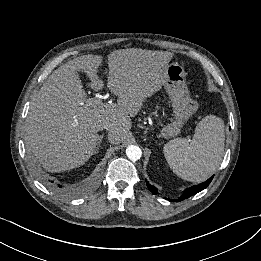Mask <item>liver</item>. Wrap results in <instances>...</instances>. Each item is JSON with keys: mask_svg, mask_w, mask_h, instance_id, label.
<instances>
[{"mask_svg": "<svg viewBox=\"0 0 261 261\" xmlns=\"http://www.w3.org/2000/svg\"><path fill=\"white\" fill-rule=\"evenodd\" d=\"M173 57L168 51L138 48L115 50L108 56L107 86L118 96L117 104L87 105V95L78 77L85 73L94 90L103 87L98 71L103 56L83 55L56 69L32 99L25 123V142L50 172L68 171L85 164L94 154L98 131L108 129L110 143L123 142L144 100L166 80Z\"/></svg>", "mask_w": 261, "mask_h": 261, "instance_id": "obj_1", "label": "liver"}]
</instances>
